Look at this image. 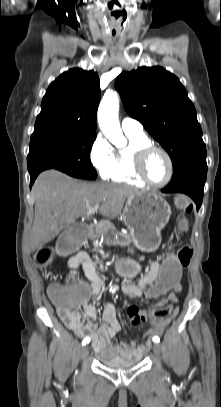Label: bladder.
Returning <instances> with one entry per match:
<instances>
[{"label":"bladder","instance_id":"obj_1","mask_svg":"<svg viewBox=\"0 0 221 407\" xmlns=\"http://www.w3.org/2000/svg\"><path fill=\"white\" fill-rule=\"evenodd\" d=\"M98 361L104 365L105 367L112 368V369H127L137 366L141 360L140 358L137 359H120V358H108L101 354L97 355Z\"/></svg>","mask_w":221,"mask_h":407}]
</instances>
